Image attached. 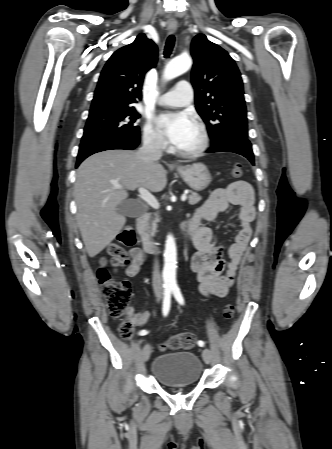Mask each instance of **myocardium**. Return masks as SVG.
<instances>
[{
    "mask_svg": "<svg viewBox=\"0 0 332 449\" xmlns=\"http://www.w3.org/2000/svg\"><path fill=\"white\" fill-rule=\"evenodd\" d=\"M195 127L199 133V141H198L197 145L191 149L178 148L177 152L182 156H185V157L200 156L207 150V148L209 146V134H208L206 127L200 122H197L195 124Z\"/></svg>",
    "mask_w": 332,
    "mask_h": 449,
    "instance_id": "obj_1",
    "label": "myocardium"
}]
</instances>
